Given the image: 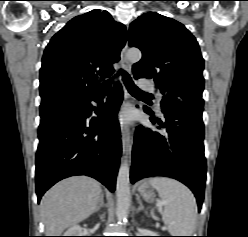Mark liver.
Returning <instances> with one entry per match:
<instances>
[{
    "label": "liver",
    "mask_w": 248,
    "mask_h": 237,
    "mask_svg": "<svg viewBox=\"0 0 248 237\" xmlns=\"http://www.w3.org/2000/svg\"><path fill=\"white\" fill-rule=\"evenodd\" d=\"M100 195V183L86 176L71 177L54 185L40 203L46 236H60L68 227L88 218Z\"/></svg>",
    "instance_id": "6515ba94"
}]
</instances>
